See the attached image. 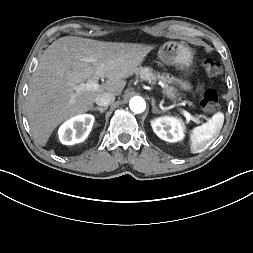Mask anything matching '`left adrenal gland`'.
<instances>
[{
	"mask_svg": "<svg viewBox=\"0 0 253 253\" xmlns=\"http://www.w3.org/2000/svg\"><path fill=\"white\" fill-rule=\"evenodd\" d=\"M152 112L153 113H160V111L158 110V108L155 106L154 100H152Z\"/></svg>",
	"mask_w": 253,
	"mask_h": 253,
	"instance_id": "left-adrenal-gland-1",
	"label": "left adrenal gland"
}]
</instances>
